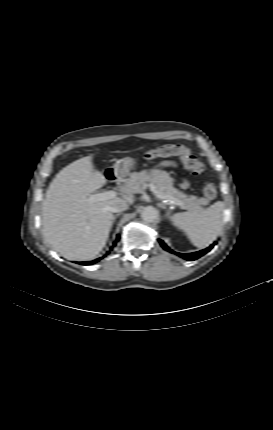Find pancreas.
<instances>
[{
    "label": "pancreas",
    "mask_w": 273,
    "mask_h": 430,
    "mask_svg": "<svg viewBox=\"0 0 273 430\" xmlns=\"http://www.w3.org/2000/svg\"><path fill=\"white\" fill-rule=\"evenodd\" d=\"M127 187L133 192L141 191L146 183H151L163 194L177 198L182 202L180 206L182 209L200 212L203 210L201 205L208 204V200L205 198H198L196 196H188L173 186V178L170 177L169 173L164 170H153L151 173L143 170L141 172H134L130 174L127 180Z\"/></svg>",
    "instance_id": "cf45deb5"
}]
</instances>
